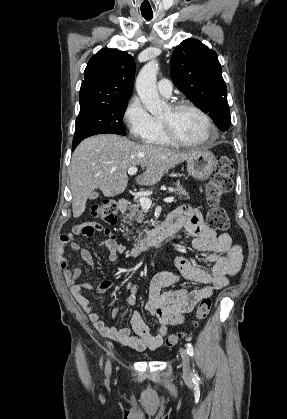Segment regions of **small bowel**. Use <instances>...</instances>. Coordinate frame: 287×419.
<instances>
[{"mask_svg":"<svg viewBox=\"0 0 287 419\" xmlns=\"http://www.w3.org/2000/svg\"><path fill=\"white\" fill-rule=\"evenodd\" d=\"M165 224H169L176 230L185 229L192 237V246L195 250L208 253L207 262L211 264L208 269L199 268L192 265L184 256H177L175 259L178 272H161L154 276L149 286L148 300L145 303V310L149 312L158 322L159 328L153 333L148 325L143 321L139 312L131 314V328L116 329L107 326L94 310L89 299L84 294V290L93 289L94 286L89 282L76 283L81 275V269L73 270L68 268V260L65 257V248L79 251L81 258L93 265V259L89 251L82 249L75 242V236H91L96 231L102 230L108 238L101 241L99 246L108 250L109 261L115 263L118 255L124 254L125 245L118 242L115 236L108 229H102L95 223H82L74 226L69 233L59 237L56 249V259L63 276L70 290L87 314L90 321L98 332L105 337L117 341L137 351L146 348L157 349L165 338L168 327L182 323L184 316L191 312L193 308L204 298H209L215 290H220L227 286V276L238 273L241 268L243 255L239 245L232 243L228 233L216 234L203 221L201 213L197 209L187 206L176 208L166 219ZM189 279L202 284L199 289L171 290L163 292L162 289L177 283L180 278ZM114 285L112 280H103L96 287L99 295H104L106 291ZM137 287L134 284L127 286L125 304L127 306L135 303V293ZM123 306L114 310L116 316Z\"/></svg>","mask_w":287,"mask_h":419,"instance_id":"c3829d8e","label":"small bowel"}]
</instances>
